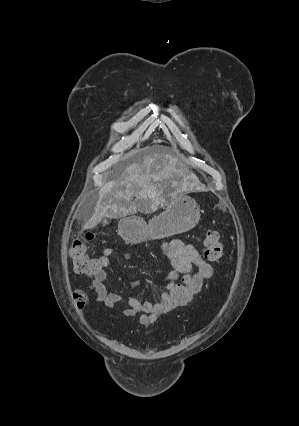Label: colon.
Segmentation results:
<instances>
[{
    "label": "colon",
    "instance_id": "colon-1",
    "mask_svg": "<svg viewBox=\"0 0 299 426\" xmlns=\"http://www.w3.org/2000/svg\"><path fill=\"white\" fill-rule=\"evenodd\" d=\"M94 238L93 234H86L75 239L69 249L74 270L89 277L95 276L101 269L98 259L92 258L87 253V244ZM205 256L210 261H217L223 255V245L220 234L214 229L207 230L204 241ZM164 305L169 310H175L191 302L193 298V282L190 276H185L181 282L166 291L163 295ZM75 303L83 308L88 301L87 294L82 290L73 293Z\"/></svg>",
    "mask_w": 299,
    "mask_h": 426
}]
</instances>
